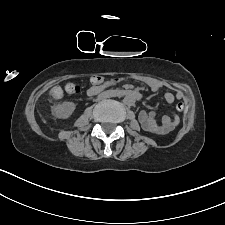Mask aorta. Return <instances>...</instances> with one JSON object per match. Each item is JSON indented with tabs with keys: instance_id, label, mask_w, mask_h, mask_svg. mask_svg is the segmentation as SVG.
I'll list each match as a JSON object with an SVG mask.
<instances>
[{
	"instance_id": "aorta-1",
	"label": "aorta",
	"mask_w": 225,
	"mask_h": 225,
	"mask_svg": "<svg viewBox=\"0 0 225 225\" xmlns=\"http://www.w3.org/2000/svg\"><path fill=\"white\" fill-rule=\"evenodd\" d=\"M123 101L126 105L131 106L135 103V97L131 94H128L124 97Z\"/></svg>"
}]
</instances>
